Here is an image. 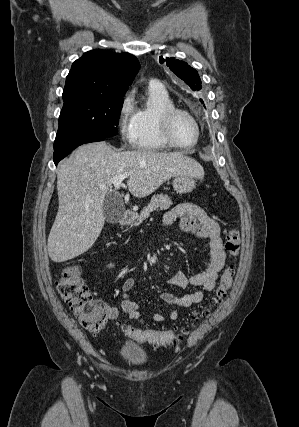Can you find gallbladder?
<instances>
[{"instance_id":"1","label":"gallbladder","mask_w":299,"mask_h":427,"mask_svg":"<svg viewBox=\"0 0 299 427\" xmlns=\"http://www.w3.org/2000/svg\"><path fill=\"white\" fill-rule=\"evenodd\" d=\"M125 213L123 198L116 192L107 193L103 202V215L108 223H118Z\"/></svg>"}]
</instances>
